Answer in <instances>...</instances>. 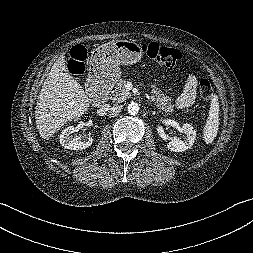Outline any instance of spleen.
<instances>
[{"instance_id":"1","label":"spleen","mask_w":253,"mask_h":253,"mask_svg":"<svg viewBox=\"0 0 253 253\" xmlns=\"http://www.w3.org/2000/svg\"><path fill=\"white\" fill-rule=\"evenodd\" d=\"M219 127V102L218 96L212 95L209 108V115L203 129V138L206 144H211L218 133Z\"/></svg>"}]
</instances>
